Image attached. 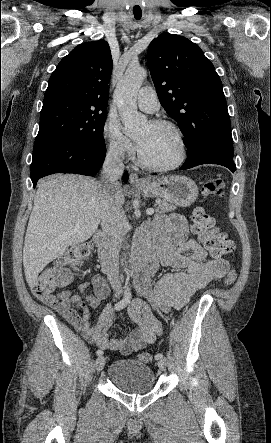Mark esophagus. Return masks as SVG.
Here are the masks:
<instances>
[{
  "label": "esophagus",
  "instance_id": "esophagus-1",
  "mask_svg": "<svg viewBox=\"0 0 271 443\" xmlns=\"http://www.w3.org/2000/svg\"><path fill=\"white\" fill-rule=\"evenodd\" d=\"M130 184L133 186L137 185H144L146 182L139 178V175L137 173H130L129 177Z\"/></svg>",
  "mask_w": 271,
  "mask_h": 443
}]
</instances>
